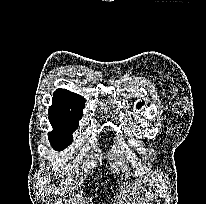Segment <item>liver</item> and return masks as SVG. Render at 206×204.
<instances>
[{"label": "liver", "instance_id": "6515ba94", "mask_svg": "<svg viewBox=\"0 0 206 204\" xmlns=\"http://www.w3.org/2000/svg\"><path fill=\"white\" fill-rule=\"evenodd\" d=\"M71 181H72L71 177L68 176L67 179H65V180L63 179V180L60 181L59 187H61L62 190H66V186H64V185L70 184Z\"/></svg>", "mask_w": 206, "mask_h": 204}]
</instances>
